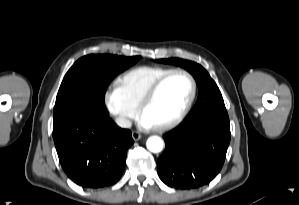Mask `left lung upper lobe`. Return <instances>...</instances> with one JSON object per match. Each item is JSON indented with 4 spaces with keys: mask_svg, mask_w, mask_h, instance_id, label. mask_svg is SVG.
I'll list each match as a JSON object with an SVG mask.
<instances>
[{
    "mask_svg": "<svg viewBox=\"0 0 299 205\" xmlns=\"http://www.w3.org/2000/svg\"><path fill=\"white\" fill-rule=\"evenodd\" d=\"M157 62L184 67L194 76L199 87V96L194 108L187 117L198 118L210 110L225 108L218 86L201 65L179 58L159 59Z\"/></svg>",
    "mask_w": 299,
    "mask_h": 205,
    "instance_id": "5c2ea615",
    "label": "left lung upper lobe"
}]
</instances>
